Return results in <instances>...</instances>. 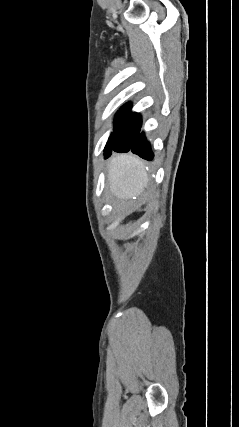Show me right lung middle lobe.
Instances as JSON below:
<instances>
[{"label": "right lung middle lobe", "instance_id": "right-lung-middle-lobe-1", "mask_svg": "<svg viewBox=\"0 0 239 427\" xmlns=\"http://www.w3.org/2000/svg\"><path fill=\"white\" fill-rule=\"evenodd\" d=\"M131 104H126L115 117L114 132L105 146V155L109 157L112 150L128 149L141 127V117L138 113L130 112Z\"/></svg>", "mask_w": 239, "mask_h": 427}]
</instances>
